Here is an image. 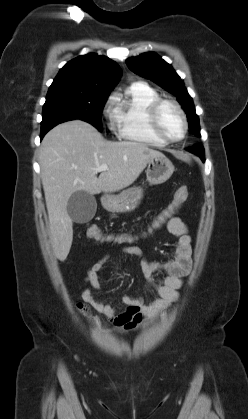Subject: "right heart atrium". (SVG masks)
I'll return each mask as SVG.
<instances>
[{
    "label": "right heart atrium",
    "mask_w": 248,
    "mask_h": 419,
    "mask_svg": "<svg viewBox=\"0 0 248 419\" xmlns=\"http://www.w3.org/2000/svg\"><path fill=\"white\" fill-rule=\"evenodd\" d=\"M113 102H114V97L110 96L103 109L104 115L107 118H110L111 120H114L115 118V108H113L112 106Z\"/></svg>",
    "instance_id": "right-heart-atrium-1"
}]
</instances>
